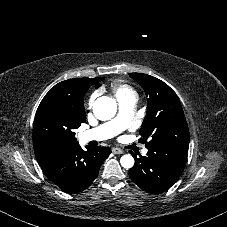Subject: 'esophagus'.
<instances>
[{
	"label": "esophagus",
	"mask_w": 227,
	"mask_h": 227,
	"mask_svg": "<svg viewBox=\"0 0 227 227\" xmlns=\"http://www.w3.org/2000/svg\"><path fill=\"white\" fill-rule=\"evenodd\" d=\"M112 152L114 154H123L124 153V151L122 149H120V148H113Z\"/></svg>",
	"instance_id": "1"
}]
</instances>
